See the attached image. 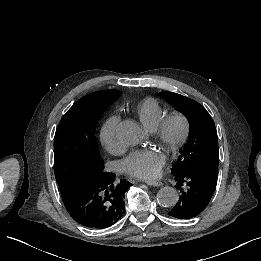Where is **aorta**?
<instances>
[{"instance_id": "aorta-1", "label": "aorta", "mask_w": 261, "mask_h": 261, "mask_svg": "<svg viewBox=\"0 0 261 261\" xmlns=\"http://www.w3.org/2000/svg\"><path fill=\"white\" fill-rule=\"evenodd\" d=\"M116 136L121 143L127 146H133L142 141L144 133L136 122L125 120L119 123ZM156 197L159 205L163 207H173L176 205L179 195L175 188L165 186L157 192Z\"/></svg>"}]
</instances>
